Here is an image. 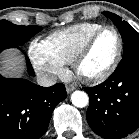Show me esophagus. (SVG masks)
Returning <instances> with one entry per match:
<instances>
[{
    "label": "esophagus",
    "instance_id": "esophagus-1",
    "mask_svg": "<svg viewBox=\"0 0 139 139\" xmlns=\"http://www.w3.org/2000/svg\"><path fill=\"white\" fill-rule=\"evenodd\" d=\"M75 88H76V86L74 84L66 85V91H67V93L72 92Z\"/></svg>",
    "mask_w": 139,
    "mask_h": 139
}]
</instances>
